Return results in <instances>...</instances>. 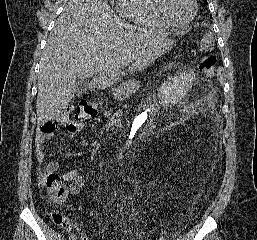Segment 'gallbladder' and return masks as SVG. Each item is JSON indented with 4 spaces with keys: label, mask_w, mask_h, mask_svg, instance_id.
<instances>
[{
    "label": "gallbladder",
    "mask_w": 257,
    "mask_h": 240,
    "mask_svg": "<svg viewBox=\"0 0 257 240\" xmlns=\"http://www.w3.org/2000/svg\"><path fill=\"white\" fill-rule=\"evenodd\" d=\"M89 82L87 79H78L76 83V95L80 96L82 95L88 88Z\"/></svg>",
    "instance_id": "gallbladder-1"
}]
</instances>
